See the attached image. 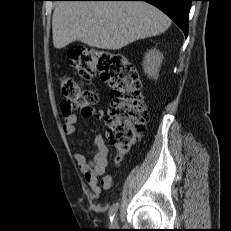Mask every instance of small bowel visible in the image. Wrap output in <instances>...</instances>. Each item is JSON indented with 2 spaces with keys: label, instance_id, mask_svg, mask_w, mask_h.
Instances as JSON below:
<instances>
[{
  "label": "small bowel",
  "instance_id": "small-bowel-1",
  "mask_svg": "<svg viewBox=\"0 0 231 231\" xmlns=\"http://www.w3.org/2000/svg\"><path fill=\"white\" fill-rule=\"evenodd\" d=\"M82 116L85 118L95 115L102 119L104 112L102 110H83ZM77 115L70 113L64 115V122L62 125L65 134L72 136L76 134ZM75 161L78 164L81 172L84 175L85 181L91 188L95 195H99L102 189H111L114 185V179L111 175L106 174L108 165V148L103 136L97 135L94 139V150L91 158L85 153L77 152L75 154ZM101 177V181H99Z\"/></svg>",
  "mask_w": 231,
  "mask_h": 231
}]
</instances>
